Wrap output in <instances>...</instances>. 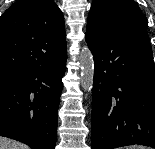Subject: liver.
<instances>
[{
    "label": "liver",
    "mask_w": 155,
    "mask_h": 149,
    "mask_svg": "<svg viewBox=\"0 0 155 149\" xmlns=\"http://www.w3.org/2000/svg\"><path fill=\"white\" fill-rule=\"evenodd\" d=\"M0 149H29V148L28 146L20 142L0 136Z\"/></svg>",
    "instance_id": "obj_1"
}]
</instances>
